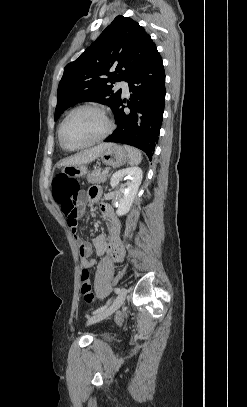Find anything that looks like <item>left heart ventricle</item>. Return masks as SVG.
Masks as SVG:
<instances>
[{"label":"left heart ventricle","instance_id":"obj_1","mask_svg":"<svg viewBox=\"0 0 247 407\" xmlns=\"http://www.w3.org/2000/svg\"><path fill=\"white\" fill-rule=\"evenodd\" d=\"M105 129L106 122L98 112L80 110L66 121L62 137L68 147H78L96 139Z\"/></svg>","mask_w":247,"mask_h":407}]
</instances>
